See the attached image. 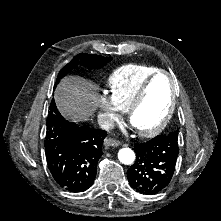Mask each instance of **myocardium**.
<instances>
[{
  "label": "myocardium",
  "mask_w": 221,
  "mask_h": 221,
  "mask_svg": "<svg viewBox=\"0 0 221 221\" xmlns=\"http://www.w3.org/2000/svg\"><path fill=\"white\" fill-rule=\"evenodd\" d=\"M160 75L167 76L170 80V83H171V100H170L169 108H168L167 113H166L165 117L163 118V120L156 127L151 128V129H146V130L137 129L138 133L143 137H152V136H155V135L159 134L160 132H162L164 130V128L167 126V124L169 123V121L174 113L177 98H176V93L174 90V77L172 76V74L166 70H163V69L155 71L139 87V89L136 92V95L134 96L132 101L129 103V105L126 107V112L129 116V120L132 123L134 113L143 104V102L145 101V98L147 96V93L149 91L150 86L152 85L154 80Z\"/></svg>",
  "instance_id": "f54148a6"
}]
</instances>
